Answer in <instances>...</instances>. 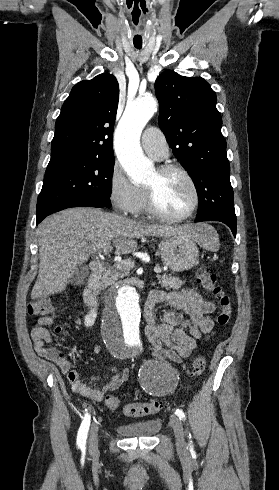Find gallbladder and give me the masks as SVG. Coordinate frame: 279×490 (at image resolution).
Instances as JSON below:
<instances>
[{
    "label": "gallbladder",
    "instance_id": "1",
    "mask_svg": "<svg viewBox=\"0 0 279 490\" xmlns=\"http://www.w3.org/2000/svg\"><path fill=\"white\" fill-rule=\"evenodd\" d=\"M88 276L89 270L87 266H77L72 278H70V282L73 286H83V284H86Z\"/></svg>",
    "mask_w": 279,
    "mask_h": 490
}]
</instances>
